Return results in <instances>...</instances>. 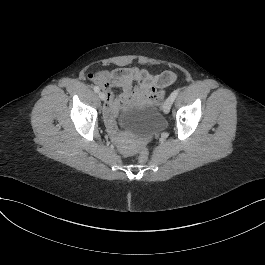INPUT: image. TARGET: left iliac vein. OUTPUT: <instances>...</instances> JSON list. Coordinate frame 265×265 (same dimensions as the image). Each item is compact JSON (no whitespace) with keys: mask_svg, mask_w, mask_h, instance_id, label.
Segmentation results:
<instances>
[{"mask_svg":"<svg viewBox=\"0 0 265 265\" xmlns=\"http://www.w3.org/2000/svg\"><path fill=\"white\" fill-rule=\"evenodd\" d=\"M173 104V100L171 97L167 98L163 104V112L168 114Z\"/></svg>","mask_w":265,"mask_h":265,"instance_id":"1","label":"left iliac vein"}]
</instances>
